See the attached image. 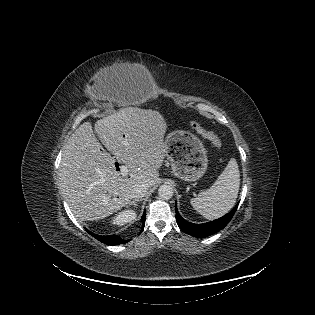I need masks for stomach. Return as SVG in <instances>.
<instances>
[{"label": "stomach", "mask_w": 315, "mask_h": 315, "mask_svg": "<svg viewBox=\"0 0 315 315\" xmlns=\"http://www.w3.org/2000/svg\"><path fill=\"white\" fill-rule=\"evenodd\" d=\"M166 144L167 157L176 177L192 182L205 174L208 159L198 137L186 130H176L167 135Z\"/></svg>", "instance_id": "0dacf381"}]
</instances>
